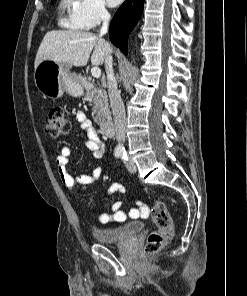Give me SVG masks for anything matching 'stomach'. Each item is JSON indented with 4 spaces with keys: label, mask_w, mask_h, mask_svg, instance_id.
<instances>
[{
    "label": "stomach",
    "mask_w": 247,
    "mask_h": 296,
    "mask_svg": "<svg viewBox=\"0 0 247 296\" xmlns=\"http://www.w3.org/2000/svg\"><path fill=\"white\" fill-rule=\"evenodd\" d=\"M71 65L44 60L35 67L34 82L37 89L47 97L59 98L67 91L74 97L83 94V88L70 73Z\"/></svg>",
    "instance_id": "1"
}]
</instances>
